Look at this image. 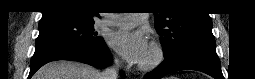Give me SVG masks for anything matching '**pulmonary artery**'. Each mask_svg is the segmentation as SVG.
<instances>
[{
	"mask_svg": "<svg viewBox=\"0 0 255 79\" xmlns=\"http://www.w3.org/2000/svg\"><path fill=\"white\" fill-rule=\"evenodd\" d=\"M148 18H149L148 13L115 14V15H112L109 19L104 20V23L107 25L127 26V25L138 23V22L146 21Z\"/></svg>",
	"mask_w": 255,
	"mask_h": 79,
	"instance_id": "obj_1",
	"label": "pulmonary artery"
}]
</instances>
